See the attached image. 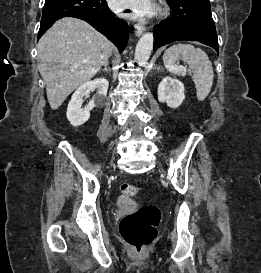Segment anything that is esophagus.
<instances>
[{
  "label": "esophagus",
  "mask_w": 261,
  "mask_h": 273,
  "mask_svg": "<svg viewBox=\"0 0 261 273\" xmlns=\"http://www.w3.org/2000/svg\"><path fill=\"white\" fill-rule=\"evenodd\" d=\"M145 27L141 25H135V35L140 36L144 32Z\"/></svg>",
  "instance_id": "obj_1"
}]
</instances>
